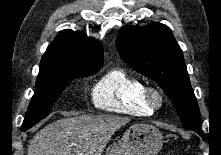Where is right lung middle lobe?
Instances as JSON below:
<instances>
[{
    "label": "right lung middle lobe",
    "instance_id": "dd1d6c3e",
    "mask_svg": "<svg viewBox=\"0 0 221 155\" xmlns=\"http://www.w3.org/2000/svg\"><path fill=\"white\" fill-rule=\"evenodd\" d=\"M101 67L102 65L75 67L65 70H40L36 81V92L31 99L21 129L26 131L41 119L47 117L59 95L72 79L90 76Z\"/></svg>",
    "mask_w": 221,
    "mask_h": 155
}]
</instances>
